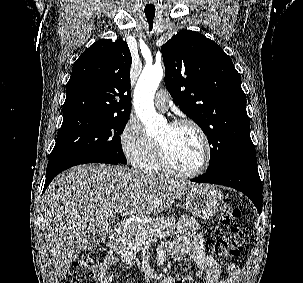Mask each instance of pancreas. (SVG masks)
Returning <instances> with one entry per match:
<instances>
[{"instance_id": "obj_1", "label": "pancreas", "mask_w": 303, "mask_h": 283, "mask_svg": "<svg viewBox=\"0 0 303 283\" xmlns=\"http://www.w3.org/2000/svg\"><path fill=\"white\" fill-rule=\"evenodd\" d=\"M175 227L174 217H163L147 223H132L118 240L117 252L124 262L133 265L143 244L166 239L173 233Z\"/></svg>"}]
</instances>
